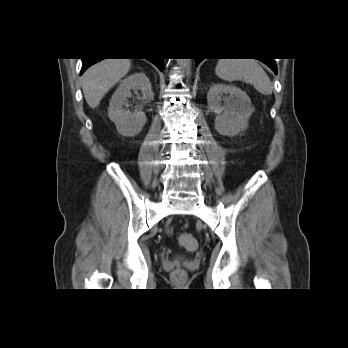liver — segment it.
Masks as SVG:
<instances>
[{
	"instance_id": "1",
	"label": "liver",
	"mask_w": 348,
	"mask_h": 348,
	"mask_svg": "<svg viewBox=\"0 0 348 348\" xmlns=\"http://www.w3.org/2000/svg\"><path fill=\"white\" fill-rule=\"evenodd\" d=\"M131 69L130 59H103L82 76V90L87 104L96 108L104 95Z\"/></svg>"
}]
</instances>
